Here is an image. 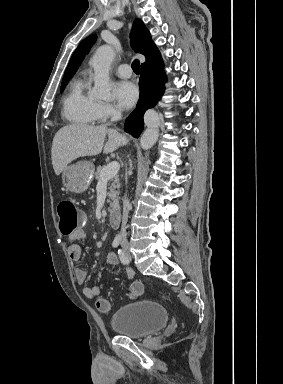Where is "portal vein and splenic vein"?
I'll use <instances>...</instances> for the list:
<instances>
[{
	"mask_svg": "<svg viewBox=\"0 0 283 384\" xmlns=\"http://www.w3.org/2000/svg\"><path fill=\"white\" fill-rule=\"evenodd\" d=\"M119 170L120 166L118 162H111V164H107V166H105L102 170L100 182H108V180L117 176Z\"/></svg>",
	"mask_w": 283,
	"mask_h": 384,
	"instance_id": "portal-vein-and-splenic-vein-1",
	"label": "portal vein and splenic vein"
}]
</instances>
